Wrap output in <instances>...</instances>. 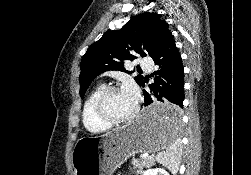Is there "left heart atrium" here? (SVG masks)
<instances>
[{"label": "left heart atrium", "instance_id": "left-heart-atrium-1", "mask_svg": "<svg viewBox=\"0 0 251 175\" xmlns=\"http://www.w3.org/2000/svg\"><path fill=\"white\" fill-rule=\"evenodd\" d=\"M121 93L125 100L135 108L139 101V91L136 85L132 81H127L124 83Z\"/></svg>", "mask_w": 251, "mask_h": 175}]
</instances>
